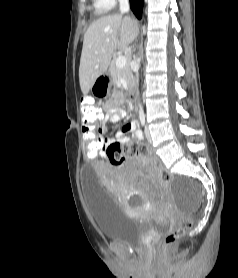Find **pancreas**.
<instances>
[{
    "instance_id": "pancreas-1",
    "label": "pancreas",
    "mask_w": 238,
    "mask_h": 278,
    "mask_svg": "<svg viewBox=\"0 0 238 278\" xmlns=\"http://www.w3.org/2000/svg\"><path fill=\"white\" fill-rule=\"evenodd\" d=\"M116 60H117V57H114V59L110 63V67H109V72H110L113 82L115 84H118L120 79L123 78L127 82L129 89H131L135 84V79H134L132 70L130 69V66L126 65L123 68H118L116 66Z\"/></svg>"
}]
</instances>
